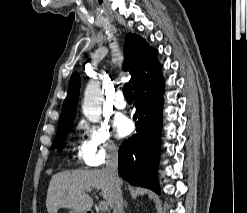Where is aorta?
I'll use <instances>...</instances> for the list:
<instances>
[{"mask_svg":"<svg viewBox=\"0 0 247 213\" xmlns=\"http://www.w3.org/2000/svg\"><path fill=\"white\" fill-rule=\"evenodd\" d=\"M103 91L98 81H90L84 92L82 111L91 122H98L101 114Z\"/></svg>","mask_w":247,"mask_h":213,"instance_id":"obj_1","label":"aorta"}]
</instances>
